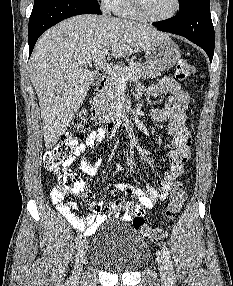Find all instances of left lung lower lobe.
Listing matches in <instances>:
<instances>
[{
    "label": "left lung lower lobe",
    "mask_w": 233,
    "mask_h": 286,
    "mask_svg": "<svg viewBox=\"0 0 233 286\" xmlns=\"http://www.w3.org/2000/svg\"><path fill=\"white\" fill-rule=\"evenodd\" d=\"M153 25L161 31L184 36L200 46L210 61L214 54V27L210 14V0H196L187 11Z\"/></svg>",
    "instance_id": "1"
}]
</instances>
